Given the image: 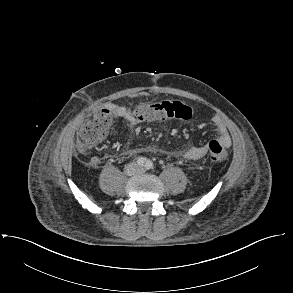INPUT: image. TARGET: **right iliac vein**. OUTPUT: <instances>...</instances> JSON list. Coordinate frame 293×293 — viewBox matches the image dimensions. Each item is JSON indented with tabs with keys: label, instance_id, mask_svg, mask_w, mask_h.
<instances>
[{
	"label": "right iliac vein",
	"instance_id": "63e3f726",
	"mask_svg": "<svg viewBox=\"0 0 293 293\" xmlns=\"http://www.w3.org/2000/svg\"><path fill=\"white\" fill-rule=\"evenodd\" d=\"M127 173H128V174H131V173H132V167H129V168L127 169Z\"/></svg>",
	"mask_w": 293,
	"mask_h": 293
}]
</instances>
